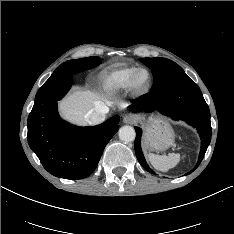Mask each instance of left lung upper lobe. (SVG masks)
I'll return each instance as SVG.
<instances>
[{
    "mask_svg": "<svg viewBox=\"0 0 234 234\" xmlns=\"http://www.w3.org/2000/svg\"><path fill=\"white\" fill-rule=\"evenodd\" d=\"M147 67L152 69L154 84L151 90L159 89L173 81L188 77L175 62L166 58H141Z\"/></svg>",
    "mask_w": 234,
    "mask_h": 234,
    "instance_id": "5c2ea615",
    "label": "left lung upper lobe"
}]
</instances>
